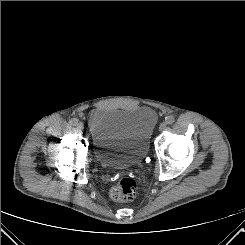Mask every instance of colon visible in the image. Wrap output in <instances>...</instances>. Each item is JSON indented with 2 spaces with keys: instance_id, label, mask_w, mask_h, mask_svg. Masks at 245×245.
Here are the masks:
<instances>
[{
  "instance_id": "1",
  "label": "colon",
  "mask_w": 245,
  "mask_h": 245,
  "mask_svg": "<svg viewBox=\"0 0 245 245\" xmlns=\"http://www.w3.org/2000/svg\"><path fill=\"white\" fill-rule=\"evenodd\" d=\"M137 184L131 178H123L110 189V197L114 201L128 202L135 198Z\"/></svg>"
}]
</instances>
